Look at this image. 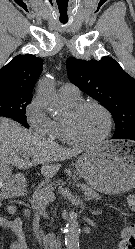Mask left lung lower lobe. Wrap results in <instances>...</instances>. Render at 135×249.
<instances>
[{
  "label": "left lung lower lobe",
  "mask_w": 135,
  "mask_h": 249,
  "mask_svg": "<svg viewBox=\"0 0 135 249\" xmlns=\"http://www.w3.org/2000/svg\"><path fill=\"white\" fill-rule=\"evenodd\" d=\"M113 139H130L135 141V131H131L130 133L122 136V137H113Z\"/></svg>",
  "instance_id": "obj_1"
}]
</instances>
